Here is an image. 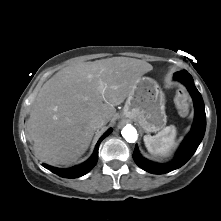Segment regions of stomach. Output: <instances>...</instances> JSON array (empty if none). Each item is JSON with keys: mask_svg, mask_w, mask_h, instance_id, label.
I'll return each mask as SVG.
<instances>
[{"mask_svg": "<svg viewBox=\"0 0 221 221\" xmlns=\"http://www.w3.org/2000/svg\"><path fill=\"white\" fill-rule=\"evenodd\" d=\"M123 114L147 133L161 130L167 116L164 93L157 82L149 77L140 78L127 97Z\"/></svg>", "mask_w": 221, "mask_h": 221, "instance_id": "1", "label": "stomach"}]
</instances>
